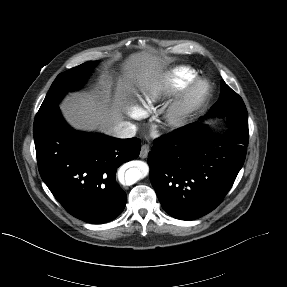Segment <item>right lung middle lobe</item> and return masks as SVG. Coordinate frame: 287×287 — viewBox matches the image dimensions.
Instances as JSON below:
<instances>
[{
	"label": "right lung middle lobe",
	"instance_id": "dd1d6c3e",
	"mask_svg": "<svg viewBox=\"0 0 287 287\" xmlns=\"http://www.w3.org/2000/svg\"><path fill=\"white\" fill-rule=\"evenodd\" d=\"M96 61H89L60 73L50 87L38 113L49 110L61 101L68 91L81 87L89 76Z\"/></svg>",
	"mask_w": 287,
	"mask_h": 287
}]
</instances>
